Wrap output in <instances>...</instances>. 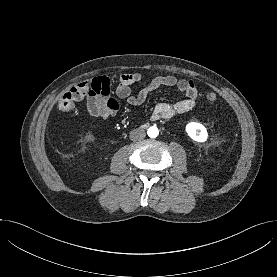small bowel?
<instances>
[{"instance_id": "c3829d8e", "label": "small bowel", "mask_w": 277, "mask_h": 277, "mask_svg": "<svg viewBox=\"0 0 277 277\" xmlns=\"http://www.w3.org/2000/svg\"><path fill=\"white\" fill-rule=\"evenodd\" d=\"M142 80L140 73H126L119 78V84L115 88L117 97L125 100L132 106L142 105L147 97L162 86L175 87L184 99L174 104L158 103L151 114L153 120H166L176 114L186 113L192 110L196 104L198 90L192 80L178 79L172 75L156 76L136 94L132 92V86ZM87 83V92L81 98L86 100L88 114L93 118L106 121L116 115L119 105L115 98L111 97L112 80L109 77H96ZM80 99V100H81Z\"/></svg>"}]
</instances>
